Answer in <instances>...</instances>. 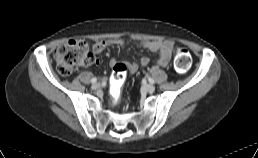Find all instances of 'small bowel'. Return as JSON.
<instances>
[{
	"label": "small bowel",
	"mask_w": 258,
	"mask_h": 158,
	"mask_svg": "<svg viewBox=\"0 0 258 158\" xmlns=\"http://www.w3.org/2000/svg\"><path fill=\"white\" fill-rule=\"evenodd\" d=\"M138 46L144 47L151 51L158 53L157 63L160 66L166 67L171 59L173 49H174V42L171 40H154V41H139ZM112 46H119L124 47L125 42L121 39L111 38L107 40H99L95 42L92 46V51L95 54H99L103 52L105 49L112 47ZM117 63L116 60H110V65L114 66ZM149 64V59L147 57H141L139 59V64L136 63H129L128 70L131 72H136L139 67H146Z\"/></svg>",
	"instance_id": "c3829d8e"
}]
</instances>
